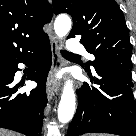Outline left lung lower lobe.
<instances>
[{"label":"left lung lower lobe","instance_id":"1","mask_svg":"<svg viewBox=\"0 0 136 136\" xmlns=\"http://www.w3.org/2000/svg\"><path fill=\"white\" fill-rule=\"evenodd\" d=\"M90 80L78 90L79 104L67 136L85 133H110L136 136V105L130 70L95 67Z\"/></svg>","mask_w":136,"mask_h":136}]
</instances>
